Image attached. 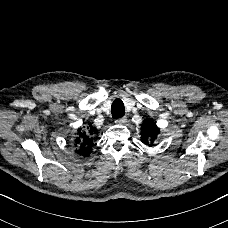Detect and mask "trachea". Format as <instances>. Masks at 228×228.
Masks as SVG:
<instances>
[{
	"instance_id": "trachea-1",
	"label": "trachea",
	"mask_w": 228,
	"mask_h": 228,
	"mask_svg": "<svg viewBox=\"0 0 228 228\" xmlns=\"http://www.w3.org/2000/svg\"><path fill=\"white\" fill-rule=\"evenodd\" d=\"M111 112H112V117L114 119H119L124 116L125 108L122 100L120 99L114 100V102L112 103Z\"/></svg>"
}]
</instances>
